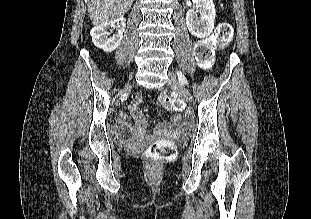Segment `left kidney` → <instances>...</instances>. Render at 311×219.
Segmentation results:
<instances>
[{"label": "left kidney", "instance_id": "1", "mask_svg": "<svg viewBox=\"0 0 311 219\" xmlns=\"http://www.w3.org/2000/svg\"><path fill=\"white\" fill-rule=\"evenodd\" d=\"M196 9L186 13V24L190 33L198 38L208 37L214 29L215 5L213 0H192ZM197 14L200 17H197Z\"/></svg>", "mask_w": 311, "mask_h": 219}]
</instances>
